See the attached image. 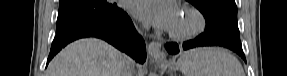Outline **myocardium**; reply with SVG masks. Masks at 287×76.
Wrapping results in <instances>:
<instances>
[{
    "label": "myocardium",
    "mask_w": 287,
    "mask_h": 76,
    "mask_svg": "<svg viewBox=\"0 0 287 76\" xmlns=\"http://www.w3.org/2000/svg\"><path fill=\"white\" fill-rule=\"evenodd\" d=\"M181 13L191 15L194 19L193 25L183 31H176L171 29L169 36L175 40L184 41L192 39L200 34L206 26L205 15L196 7L184 6L181 9Z\"/></svg>",
    "instance_id": "myocardium-1"
}]
</instances>
